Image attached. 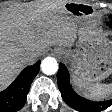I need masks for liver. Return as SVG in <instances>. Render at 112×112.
I'll use <instances>...</instances> for the list:
<instances>
[{
    "mask_svg": "<svg viewBox=\"0 0 112 112\" xmlns=\"http://www.w3.org/2000/svg\"><path fill=\"white\" fill-rule=\"evenodd\" d=\"M60 3L25 4L9 20H0V90L27 64L22 55L44 53L54 45L69 46L70 14ZM103 41L96 38L94 44Z\"/></svg>",
    "mask_w": 112,
    "mask_h": 112,
    "instance_id": "1",
    "label": "liver"
}]
</instances>
